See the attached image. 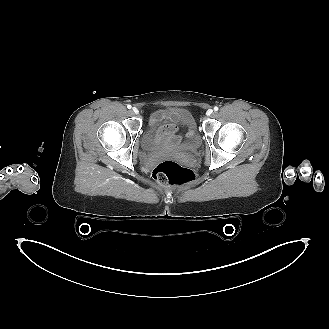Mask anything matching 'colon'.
Segmentation results:
<instances>
[{"label": "colon", "mask_w": 329, "mask_h": 329, "mask_svg": "<svg viewBox=\"0 0 329 329\" xmlns=\"http://www.w3.org/2000/svg\"><path fill=\"white\" fill-rule=\"evenodd\" d=\"M194 120L189 118L184 126L188 135L195 139L197 133L194 131L192 124ZM153 177L164 185L171 186H189L195 183L196 174L193 170L185 168L173 161H164L158 164L153 170Z\"/></svg>", "instance_id": "1"}]
</instances>
